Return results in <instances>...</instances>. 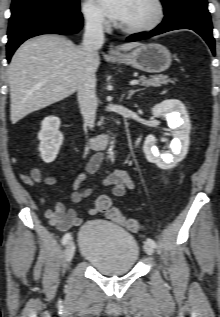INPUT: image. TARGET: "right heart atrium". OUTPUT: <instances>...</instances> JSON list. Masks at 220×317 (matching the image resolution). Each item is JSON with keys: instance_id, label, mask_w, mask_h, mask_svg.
<instances>
[{"instance_id": "d8ad5b80", "label": "right heart atrium", "mask_w": 220, "mask_h": 317, "mask_svg": "<svg viewBox=\"0 0 220 317\" xmlns=\"http://www.w3.org/2000/svg\"><path fill=\"white\" fill-rule=\"evenodd\" d=\"M81 11L83 18L89 27L94 29H105L108 26V21L92 0H84L81 5Z\"/></svg>"}]
</instances>
